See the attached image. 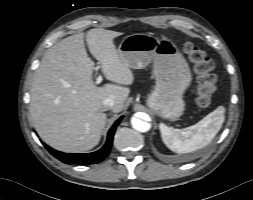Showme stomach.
Segmentation results:
<instances>
[{
	"label": "stomach",
	"mask_w": 253,
	"mask_h": 200,
	"mask_svg": "<svg viewBox=\"0 0 253 200\" xmlns=\"http://www.w3.org/2000/svg\"><path fill=\"white\" fill-rule=\"evenodd\" d=\"M117 52L132 69L144 68L153 61L156 85L147 98V105L162 118H179L185 108L183 93L190 85L192 76L177 46L149 34L137 33L126 36Z\"/></svg>",
	"instance_id": "1"
}]
</instances>
